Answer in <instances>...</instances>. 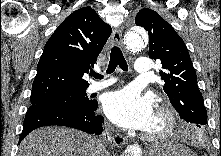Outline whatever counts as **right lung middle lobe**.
<instances>
[{
	"mask_svg": "<svg viewBox=\"0 0 221 156\" xmlns=\"http://www.w3.org/2000/svg\"><path fill=\"white\" fill-rule=\"evenodd\" d=\"M94 103H96L95 100L88 99L86 89L55 94L40 99H31L32 105L76 109H89Z\"/></svg>",
	"mask_w": 221,
	"mask_h": 156,
	"instance_id": "1",
	"label": "right lung middle lobe"
}]
</instances>
